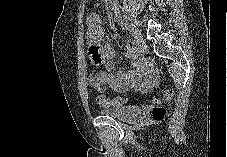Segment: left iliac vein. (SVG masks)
Masks as SVG:
<instances>
[{
	"mask_svg": "<svg viewBox=\"0 0 227 157\" xmlns=\"http://www.w3.org/2000/svg\"><path fill=\"white\" fill-rule=\"evenodd\" d=\"M131 33L139 49L142 51H145L147 49V44L142 38V36L140 35V33H138V31L134 28L131 29Z\"/></svg>",
	"mask_w": 227,
	"mask_h": 157,
	"instance_id": "4c4485c4",
	"label": "left iliac vein"
}]
</instances>
